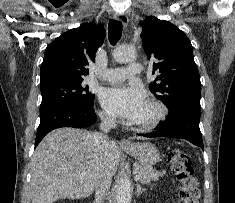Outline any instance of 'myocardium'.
<instances>
[{
    "mask_svg": "<svg viewBox=\"0 0 235 203\" xmlns=\"http://www.w3.org/2000/svg\"><path fill=\"white\" fill-rule=\"evenodd\" d=\"M147 105L154 109V115L147 121L134 123L133 127L142 132L152 131L160 126L168 115V109L164 103L158 100H149Z\"/></svg>",
    "mask_w": 235,
    "mask_h": 203,
    "instance_id": "1",
    "label": "myocardium"
}]
</instances>
